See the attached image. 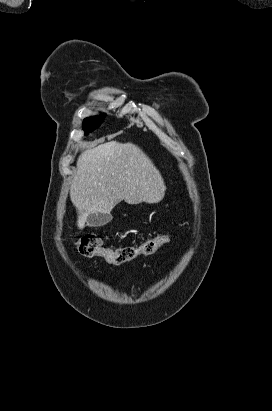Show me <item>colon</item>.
<instances>
[{
	"instance_id": "obj_1",
	"label": "colon",
	"mask_w": 272,
	"mask_h": 411,
	"mask_svg": "<svg viewBox=\"0 0 272 411\" xmlns=\"http://www.w3.org/2000/svg\"><path fill=\"white\" fill-rule=\"evenodd\" d=\"M169 242L170 236L159 235L136 246L107 248L104 247L100 237L87 234L77 240L76 248L82 256H100L109 264L121 265L133 260L137 256L151 254Z\"/></svg>"
}]
</instances>
